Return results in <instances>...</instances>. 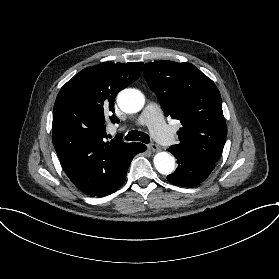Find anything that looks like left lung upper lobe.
Listing matches in <instances>:
<instances>
[{
  "label": "left lung upper lobe",
  "instance_id": "left-lung-upper-lobe-1",
  "mask_svg": "<svg viewBox=\"0 0 279 279\" xmlns=\"http://www.w3.org/2000/svg\"><path fill=\"white\" fill-rule=\"evenodd\" d=\"M144 77L166 116L180 120V143L171 148L216 163L222 154L227 126L220 93L190 63L155 61L145 64Z\"/></svg>",
  "mask_w": 279,
  "mask_h": 279
}]
</instances>
